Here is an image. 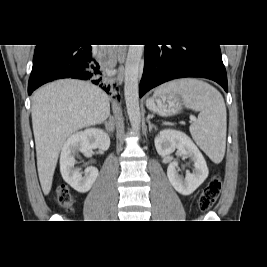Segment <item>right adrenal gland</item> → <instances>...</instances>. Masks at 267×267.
<instances>
[{"label":"right adrenal gland","mask_w":267,"mask_h":267,"mask_svg":"<svg viewBox=\"0 0 267 267\" xmlns=\"http://www.w3.org/2000/svg\"><path fill=\"white\" fill-rule=\"evenodd\" d=\"M102 124H104L105 129L108 133H113L114 132V118L113 116L109 115V121H105Z\"/></svg>","instance_id":"obj_1"}]
</instances>
